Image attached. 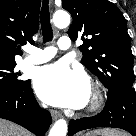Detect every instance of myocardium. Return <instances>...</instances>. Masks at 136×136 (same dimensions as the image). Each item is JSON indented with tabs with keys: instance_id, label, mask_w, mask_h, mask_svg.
<instances>
[{
	"instance_id": "myocardium-1",
	"label": "myocardium",
	"mask_w": 136,
	"mask_h": 136,
	"mask_svg": "<svg viewBox=\"0 0 136 136\" xmlns=\"http://www.w3.org/2000/svg\"><path fill=\"white\" fill-rule=\"evenodd\" d=\"M104 103V94L102 89L96 84H90V97L87 101L86 110L89 112L96 111L101 108Z\"/></svg>"
}]
</instances>
